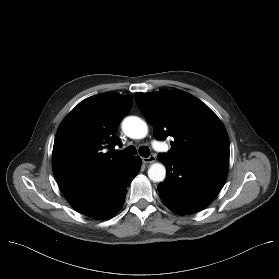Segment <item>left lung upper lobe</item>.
<instances>
[{
  "instance_id": "obj_1",
  "label": "left lung upper lobe",
  "mask_w": 279,
  "mask_h": 279,
  "mask_svg": "<svg viewBox=\"0 0 279 279\" xmlns=\"http://www.w3.org/2000/svg\"><path fill=\"white\" fill-rule=\"evenodd\" d=\"M135 101L154 136H172L164 156L180 162L228 169L229 138L217 115L202 101L179 90L136 93Z\"/></svg>"
}]
</instances>
